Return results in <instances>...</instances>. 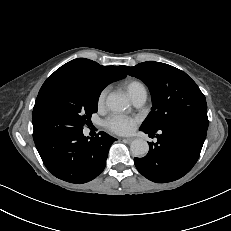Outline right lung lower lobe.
<instances>
[{"label":"right lung lower lobe","instance_id":"98d812e1","mask_svg":"<svg viewBox=\"0 0 231 231\" xmlns=\"http://www.w3.org/2000/svg\"><path fill=\"white\" fill-rule=\"evenodd\" d=\"M115 140L102 131L89 138L83 130L52 139L34 138L47 169L57 178L77 184L93 180L104 170L108 150Z\"/></svg>","mask_w":231,"mask_h":231}]
</instances>
